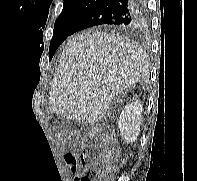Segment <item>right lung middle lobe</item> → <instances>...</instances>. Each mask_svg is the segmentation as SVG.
Listing matches in <instances>:
<instances>
[{"instance_id":"obj_1","label":"right lung middle lobe","mask_w":197,"mask_h":181,"mask_svg":"<svg viewBox=\"0 0 197 181\" xmlns=\"http://www.w3.org/2000/svg\"><path fill=\"white\" fill-rule=\"evenodd\" d=\"M88 8L89 6H79L61 12L54 25V33L49 47L50 60L60 44L69 36L77 20Z\"/></svg>"}]
</instances>
